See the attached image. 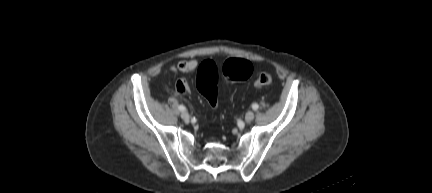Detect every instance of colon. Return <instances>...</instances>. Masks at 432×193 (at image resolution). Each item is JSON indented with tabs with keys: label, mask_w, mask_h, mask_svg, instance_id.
<instances>
[{
	"label": "colon",
	"mask_w": 432,
	"mask_h": 193,
	"mask_svg": "<svg viewBox=\"0 0 432 193\" xmlns=\"http://www.w3.org/2000/svg\"><path fill=\"white\" fill-rule=\"evenodd\" d=\"M252 74V65L243 59H228L222 66V76L228 81L245 80ZM218 69L214 62L204 61L198 70L196 84L208 103L215 107L217 104ZM269 73H261L255 79L257 88L268 87L272 84Z\"/></svg>",
	"instance_id": "obj_1"
}]
</instances>
